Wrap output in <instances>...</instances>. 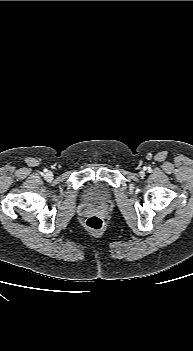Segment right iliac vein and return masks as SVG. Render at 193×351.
I'll return each instance as SVG.
<instances>
[{"mask_svg":"<svg viewBox=\"0 0 193 351\" xmlns=\"http://www.w3.org/2000/svg\"><path fill=\"white\" fill-rule=\"evenodd\" d=\"M45 178L48 179V180H50V179L53 178V174H52L51 172H47V173L45 174Z\"/></svg>","mask_w":193,"mask_h":351,"instance_id":"obj_1","label":"right iliac vein"}]
</instances>
